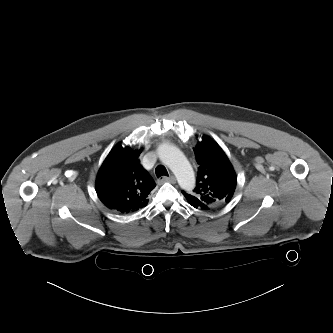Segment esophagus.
<instances>
[{
  "mask_svg": "<svg viewBox=\"0 0 333 333\" xmlns=\"http://www.w3.org/2000/svg\"><path fill=\"white\" fill-rule=\"evenodd\" d=\"M164 182H170V183H175L176 179L174 176H170V177H166V176H162L158 179V183L162 184Z\"/></svg>",
  "mask_w": 333,
  "mask_h": 333,
  "instance_id": "esophagus-1",
  "label": "esophagus"
}]
</instances>
